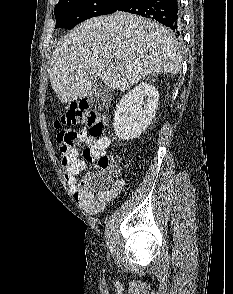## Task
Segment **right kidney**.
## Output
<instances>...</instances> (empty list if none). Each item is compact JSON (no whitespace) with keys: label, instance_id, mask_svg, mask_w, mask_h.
Segmentation results:
<instances>
[{"label":"right kidney","instance_id":"ca27d5eb","mask_svg":"<svg viewBox=\"0 0 233 294\" xmlns=\"http://www.w3.org/2000/svg\"><path fill=\"white\" fill-rule=\"evenodd\" d=\"M159 93L147 82H142L123 95L116 106L113 128L121 140H132L142 134L155 116Z\"/></svg>","mask_w":233,"mask_h":294}]
</instances>
